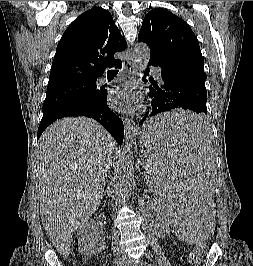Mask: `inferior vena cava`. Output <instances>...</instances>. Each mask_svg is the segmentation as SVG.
<instances>
[{"mask_svg": "<svg viewBox=\"0 0 253 266\" xmlns=\"http://www.w3.org/2000/svg\"><path fill=\"white\" fill-rule=\"evenodd\" d=\"M114 252L117 261H125L127 259L126 255L118 248L116 243L114 246Z\"/></svg>", "mask_w": 253, "mask_h": 266, "instance_id": "inferior-vena-cava-1", "label": "inferior vena cava"}]
</instances>
